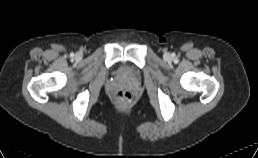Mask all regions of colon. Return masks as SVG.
<instances>
[{"instance_id":"obj_1","label":"colon","mask_w":258,"mask_h":158,"mask_svg":"<svg viewBox=\"0 0 258 158\" xmlns=\"http://www.w3.org/2000/svg\"><path fill=\"white\" fill-rule=\"evenodd\" d=\"M116 98L123 102H130L132 100V95L127 91H120L116 94Z\"/></svg>"}]
</instances>
